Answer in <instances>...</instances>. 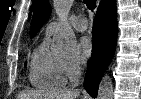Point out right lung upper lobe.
Returning <instances> with one entry per match:
<instances>
[{"instance_id": "right-lung-upper-lobe-1", "label": "right lung upper lobe", "mask_w": 141, "mask_h": 99, "mask_svg": "<svg viewBox=\"0 0 141 99\" xmlns=\"http://www.w3.org/2000/svg\"><path fill=\"white\" fill-rule=\"evenodd\" d=\"M50 14L51 6L48 0H37L34 11V17L31 24V37L37 34L43 24L48 20Z\"/></svg>"}]
</instances>
